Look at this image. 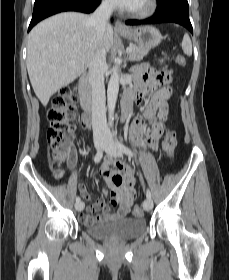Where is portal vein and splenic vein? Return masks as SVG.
<instances>
[{
  "mask_svg": "<svg viewBox=\"0 0 229 280\" xmlns=\"http://www.w3.org/2000/svg\"><path fill=\"white\" fill-rule=\"evenodd\" d=\"M133 51V48L132 47H128L127 49H126V52L127 53H131ZM70 63H73V61H70Z\"/></svg>",
  "mask_w": 229,
  "mask_h": 280,
  "instance_id": "18ae733b",
  "label": "portal vein and splenic vein"
}]
</instances>
